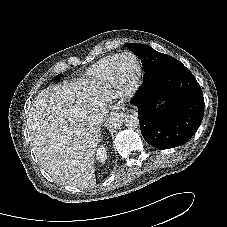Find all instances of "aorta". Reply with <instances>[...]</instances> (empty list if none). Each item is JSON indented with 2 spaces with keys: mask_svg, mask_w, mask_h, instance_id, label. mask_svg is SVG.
I'll return each mask as SVG.
<instances>
[{
  "mask_svg": "<svg viewBox=\"0 0 227 227\" xmlns=\"http://www.w3.org/2000/svg\"><path fill=\"white\" fill-rule=\"evenodd\" d=\"M109 124L112 127H118L124 124L128 128H137L139 126V119L136 114L124 116L120 111H112L109 116Z\"/></svg>",
  "mask_w": 227,
  "mask_h": 227,
  "instance_id": "aorta-1",
  "label": "aorta"
}]
</instances>
